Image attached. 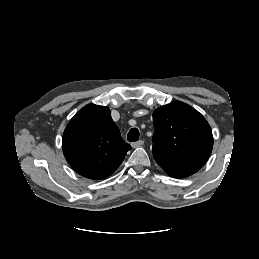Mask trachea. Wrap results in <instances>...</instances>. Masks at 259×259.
<instances>
[{
    "instance_id": "1",
    "label": "trachea",
    "mask_w": 259,
    "mask_h": 259,
    "mask_svg": "<svg viewBox=\"0 0 259 259\" xmlns=\"http://www.w3.org/2000/svg\"><path fill=\"white\" fill-rule=\"evenodd\" d=\"M127 140L130 142H135L139 140V130L137 128H132L127 134Z\"/></svg>"
}]
</instances>
